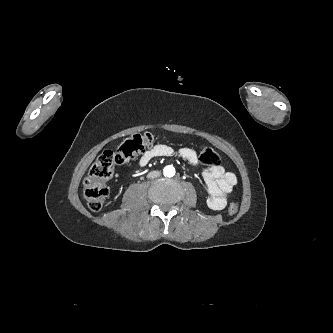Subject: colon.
I'll return each mask as SVG.
<instances>
[{
	"label": "colon",
	"instance_id": "obj_1",
	"mask_svg": "<svg viewBox=\"0 0 333 333\" xmlns=\"http://www.w3.org/2000/svg\"><path fill=\"white\" fill-rule=\"evenodd\" d=\"M154 143V137L150 133H137L127 137L115 150L104 151L90 168L83 183V193L89 208L99 211L103 208L108 196L106 182L111 178L117 165L126 164L144 153ZM199 160L204 165H219L218 153L203 146L199 151ZM239 207L233 202L228 207L231 215L237 213Z\"/></svg>",
	"mask_w": 333,
	"mask_h": 333
}]
</instances>
